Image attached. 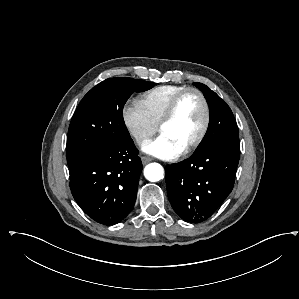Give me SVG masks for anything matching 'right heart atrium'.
<instances>
[{
    "mask_svg": "<svg viewBox=\"0 0 299 299\" xmlns=\"http://www.w3.org/2000/svg\"><path fill=\"white\" fill-rule=\"evenodd\" d=\"M122 118L126 130L138 145L145 143L157 131V126L137 102H128L124 105Z\"/></svg>",
    "mask_w": 299,
    "mask_h": 299,
    "instance_id": "1",
    "label": "right heart atrium"
}]
</instances>
